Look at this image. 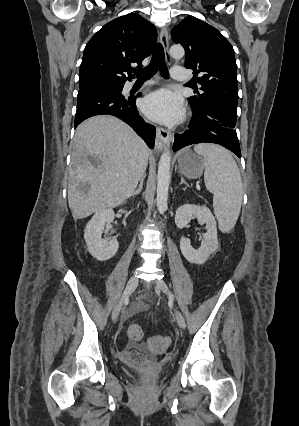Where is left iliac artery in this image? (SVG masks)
Returning <instances> with one entry per match:
<instances>
[{
	"label": "left iliac artery",
	"mask_w": 299,
	"mask_h": 426,
	"mask_svg": "<svg viewBox=\"0 0 299 426\" xmlns=\"http://www.w3.org/2000/svg\"><path fill=\"white\" fill-rule=\"evenodd\" d=\"M170 298L173 300V295L172 294H170Z\"/></svg>",
	"instance_id": "1"
}]
</instances>
